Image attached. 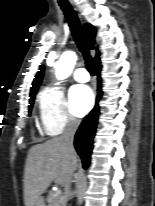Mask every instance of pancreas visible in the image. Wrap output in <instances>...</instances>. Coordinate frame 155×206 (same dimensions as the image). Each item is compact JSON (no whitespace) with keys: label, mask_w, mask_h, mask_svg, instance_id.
Masks as SVG:
<instances>
[{"label":"pancreas","mask_w":155,"mask_h":206,"mask_svg":"<svg viewBox=\"0 0 155 206\" xmlns=\"http://www.w3.org/2000/svg\"><path fill=\"white\" fill-rule=\"evenodd\" d=\"M47 206H60L62 201V195L59 193L49 192L47 196Z\"/></svg>","instance_id":"pancreas-1"}]
</instances>
